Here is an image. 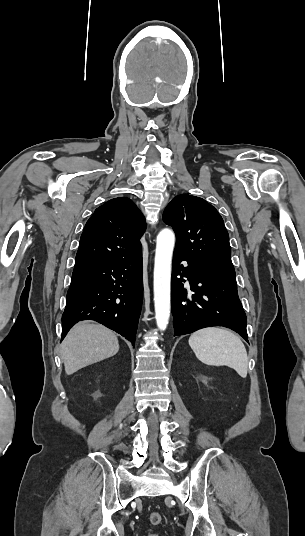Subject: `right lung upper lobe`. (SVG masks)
<instances>
[{
  "label": "right lung upper lobe",
  "instance_id": "right-lung-upper-lobe-1",
  "mask_svg": "<svg viewBox=\"0 0 305 536\" xmlns=\"http://www.w3.org/2000/svg\"><path fill=\"white\" fill-rule=\"evenodd\" d=\"M145 218L127 197L109 200L87 221L80 238L74 270L93 267L141 253Z\"/></svg>",
  "mask_w": 305,
  "mask_h": 536
}]
</instances>
